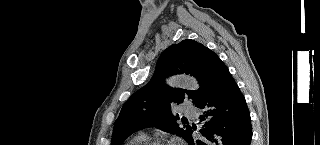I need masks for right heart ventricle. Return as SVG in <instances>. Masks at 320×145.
<instances>
[{"instance_id":"obj_1","label":"right heart ventricle","mask_w":320,"mask_h":145,"mask_svg":"<svg viewBox=\"0 0 320 145\" xmlns=\"http://www.w3.org/2000/svg\"><path fill=\"white\" fill-rule=\"evenodd\" d=\"M144 142H146V136L143 134H137L129 139L126 145H142Z\"/></svg>"}]
</instances>
